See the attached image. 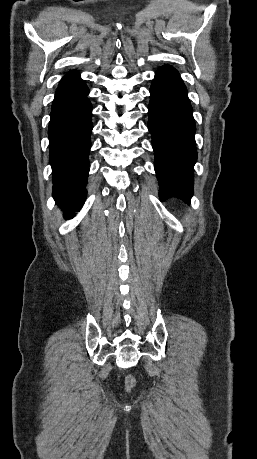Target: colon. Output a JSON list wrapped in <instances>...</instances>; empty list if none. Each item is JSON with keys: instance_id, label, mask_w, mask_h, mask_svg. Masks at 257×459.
Wrapping results in <instances>:
<instances>
[{"instance_id": "1", "label": "colon", "mask_w": 257, "mask_h": 459, "mask_svg": "<svg viewBox=\"0 0 257 459\" xmlns=\"http://www.w3.org/2000/svg\"><path fill=\"white\" fill-rule=\"evenodd\" d=\"M136 382H135V379L132 377V376H127L125 378V389L127 391H130L134 388Z\"/></svg>"}]
</instances>
